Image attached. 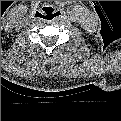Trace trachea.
<instances>
[{"mask_svg":"<svg viewBox=\"0 0 121 121\" xmlns=\"http://www.w3.org/2000/svg\"><path fill=\"white\" fill-rule=\"evenodd\" d=\"M42 10L43 17L47 20H51L55 16V10L50 6H44Z\"/></svg>","mask_w":121,"mask_h":121,"instance_id":"3493384b","label":"trachea"}]
</instances>
